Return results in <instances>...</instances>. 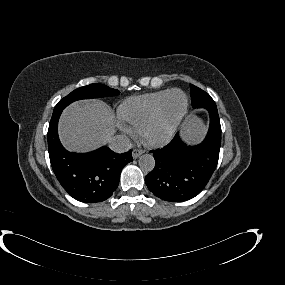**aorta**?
Returning <instances> with one entry per match:
<instances>
[{"label": "aorta", "mask_w": 285, "mask_h": 285, "mask_svg": "<svg viewBox=\"0 0 285 285\" xmlns=\"http://www.w3.org/2000/svg\"><path fill=\"white\" fill-rule=\"evenodd\" d=\"M139 166L144 172H150L155 167V159L150 154H144L139 158Z\"/></svg>", "instance_id": "762f6f07"}]
</instances>
